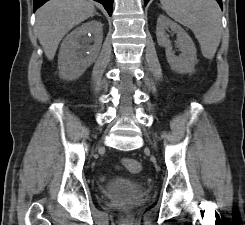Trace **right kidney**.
Returning a JSON list of instances; mask_svg holds the SVG:
<instances>
[{
  "label": "right kidney",
  "instance_id": "obj_1",
  "mask_svg": "<svg viewBox=\"0 0 245 225\" xmlns=\"http://www.w3.org/2000/svg\"><path fill=\"white\" fill-rule=\"evenodd\" d=\"M102 29L103 24L93 20L82 24L66 36L58 55V70L62 79H78L95 61L103 40Z\"/></svg>",
  "mask_w": 245,
  "mask_h": 225
}]
</instances>
